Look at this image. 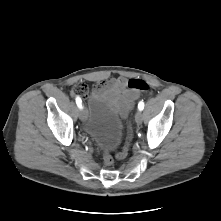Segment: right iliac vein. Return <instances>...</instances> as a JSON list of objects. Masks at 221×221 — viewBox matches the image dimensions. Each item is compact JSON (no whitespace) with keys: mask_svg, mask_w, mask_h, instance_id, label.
Wrapping results in <instances>:
<instances>
[{"mask_svg":"<svg viewBox=\"0 0 221 221\" xmlns=\"http://www.w3.org/2000/svg\"><path fill=\"white\" fill-rule=\"evenodd\" d=\"M79 118L81 119V121H85L87 118V111L85 108H81L79 111Z\"/></svg>","mask_w":221,"mask_h":221,"instance_id":"63e3f726","label":"right iliac vein"}]
</instances>
